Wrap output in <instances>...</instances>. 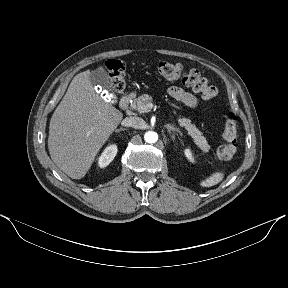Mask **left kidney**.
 Listing matches in <instances>:
<instances>
[{
    "instance_id": "5707ae66",
    "label": "left kidney",
    "mask_w": 288,
    "mask_h": 288,
    "mask_svg": "<svg viewBox=\"0 0 288 288\" xmlns=\"http://www.w3.org/2000/svg\"><path fill=\"white\" fill-rule=\"evenodd\" d=\"M184 153H185V156H186L191 162H194V156H193V154H192V152H191L190 149H186Z\"/></svg>"
}]
</instances>
